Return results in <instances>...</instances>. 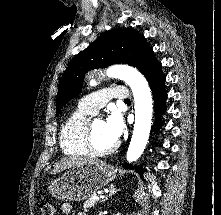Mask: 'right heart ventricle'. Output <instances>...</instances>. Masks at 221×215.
<instances>
[{"label": "right heart ventricle", "instance_id": "1", "mask_svg": "<svg viewBox=\"0 0 221 215\" xmlns=\"http://www.w3.org/2000/svg\"><path fill=\"white\" fill-rule=\"evenodd\" d=\"M93 114L81 107L73 111L61 127L59 142L63 152L71 156H86L85 145L87 116Z\"/></svg>", "mask_w": 221, "mask_h": 215}]
</instances>
